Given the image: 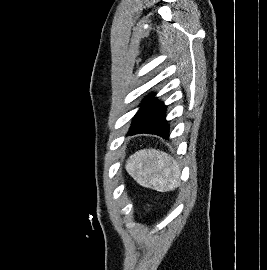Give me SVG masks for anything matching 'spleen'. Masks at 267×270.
Returning <instances> with one entry per match:
<instances>
[{"mask_svg":"<svg viewBox=\"0 0 267 270\" xmlns=\"http://www.w3.org/2000/svg\"><path fill=\"white\" fill-rule=\"evenodd\" d=\"M126 170L139 185L160 192L173 190L180 176L178 163L156 149L139 150L131 155Z\"/></svg>","mask_w":267,"mask_h":270,"instance_id":"spleen-1","label":"spleen"}]
</instances>
